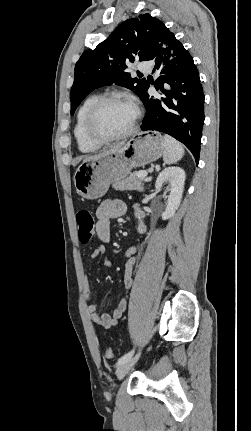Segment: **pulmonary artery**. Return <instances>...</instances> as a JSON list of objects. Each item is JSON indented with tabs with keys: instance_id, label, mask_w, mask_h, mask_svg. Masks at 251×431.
<instances>
[{
	"instance_id": "pulmonary-artery-1",
	"label": "pulmonary artery",
	"mask_w": 251,
	"mask_h": 431,
	"mask_svg": "<svg viewBox=\"0 0 251 431\" xmlns=\"http://www.w3.org/2000/svg\"><path fill=\"white\" fill-rule=\"evenodd\" d=\"M138 70L141 72H146L149 73L152 71V67L149 63L147 62H142L138 65Z\"/></svg>"
}]
</instances>
